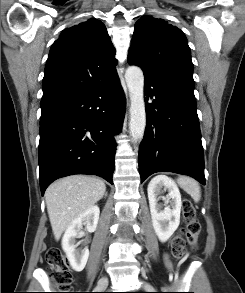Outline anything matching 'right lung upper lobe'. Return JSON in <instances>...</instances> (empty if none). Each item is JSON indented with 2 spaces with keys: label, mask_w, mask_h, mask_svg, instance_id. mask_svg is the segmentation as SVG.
<instances>
[{
  "label": "right lung upper lobe",
  "mask_w": 245,
  "mask_h": 293,
  "mask_svg": "<svg viewBox=\"0 0 245 293\" xmlns=\"http://www.w3.org/2000/svg\"><path fill=\"white\" fill-rule=\"evenodd\" d=\"M114 55L107 29L98 19L63 30L46 62L41 108H53L117 75Z\"/></svg>",
  "instance_id": "cb5924a9"
}]
</instances>
